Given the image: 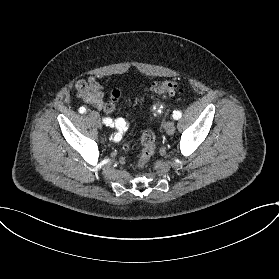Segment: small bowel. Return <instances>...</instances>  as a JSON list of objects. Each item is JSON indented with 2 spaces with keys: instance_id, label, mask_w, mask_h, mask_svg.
Wrapping results in <instances>:
<instances>
[{
  "instance_id": "1",
  "label": "small bowel",
  "mask_w": 279,
  "mask_h": 279,
  "mask_svg": "<svg viewBox=\"0 0 279 279\" xmlns=\"http://www.w3.org/2000/svg\"><path fill=\"white\" fill-rule=\"evenodd\" d=\"M77 96L84 103L93 105L98 110L102 109L104 103V88L96 77H89L78 81L75 85Z\"/></svg>"
}]
</instances>
